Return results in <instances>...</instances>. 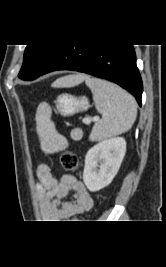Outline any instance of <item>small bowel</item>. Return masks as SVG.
<instances>
[{"mask_svg": "<svg viewBox=\"0 0 166 267\" xmlns=\"http://www.w3.org/2000/svg\"><path fill=\"white\" fill-rule=\"evenodd\" d=\"M37 177L36 191L45 220L57 222L92 207L89 192L74 175L65 173L57 179L49 165L41 164L37 169ZM71 193L73 197L66 200Z\"/></svg>", "mask_w": 166, "mask_h": 267, "instance_id": "1", "label": "small bowel"}]
</instances>
